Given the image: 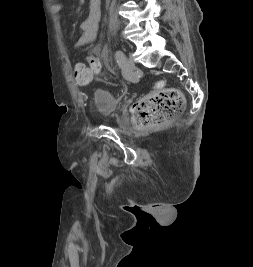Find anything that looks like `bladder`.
I'll return each mask as SVG.
<instances>
[{
    "label": "bladder",
    "instance_id": "1",
    "mask_svg": "<svg viewBox=\"0 0 253 267\" xmlns=\"http://www.w3.org/2000/svg\"><path fill=\"white\" fill-rule=\"evenodd\" d=\"M92 104L98 116L102 119H107L114 113L117 107V100L108 90L97 89L93 93Z\"/></svg>",
    "mask_w": 253,
    "mask_h": 267
}]
</instances>
